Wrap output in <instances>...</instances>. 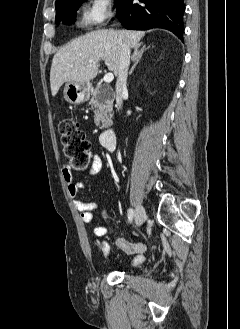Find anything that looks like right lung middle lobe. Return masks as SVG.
<instances>
[{
    "label": "right lung middle lobe",
    "mask_w": 240,
    "mask_h": 329,
    "mask_svg": "<svg viewBox=\"0 0 240 329\" xmlns=\"http://www.w3.org/2000/svg\"><path fill=\"white\" fill-rule=\"evenodd\" d=\"M86 0H67L56 7V22L71 23L75 21V14L80 5ZM117 7L122 0H115Z\"/></svg>",
    "instance_id": "right-lung-middle-lobe-1"
}]
</instances>
